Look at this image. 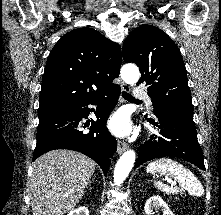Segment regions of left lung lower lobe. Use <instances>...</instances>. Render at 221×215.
I'll return each mask as SVG.
<instances>
[{
	"label": "left lung lower lobe",
	"instance_id": "left-lung-lower-lobe-1",
	"mask_svg": "<svg viewBox=\"0 0 221 215\" xmlns=\"http://www.w3.org/2000/svg\"><path fill=\"white\" fill-rule=\"evenodd\" d=\"M155 116L157 122H150L160 128V136L154 135L149 143L140 147L135 167L155 158L174 156L205 170L193 114L161 110Z\"/></svg>",
	"mask_w": 221,
	"mask_h": 215
}]
</instances>
